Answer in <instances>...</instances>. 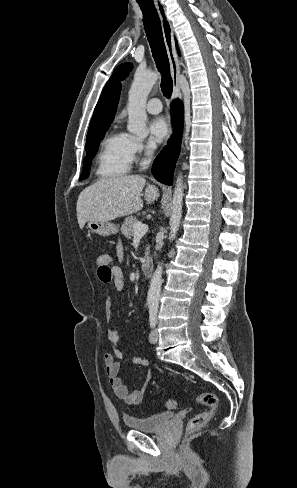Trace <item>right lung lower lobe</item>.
<instances>
[{
    "instance_id": "right-lung-lower-lobe-1",
    "label": "right lung lower lobe",
    "mask_w": 297,
    "mask_h": 488,
    "mask_svg": "<svg viewBox=\"0 0 297 488\" xmlns=\"http://www.w3.org/2000/svg\"><path fill=\"white\" fill-rule=\"evenodd\" d=\"M172 114L174 118V134L169 139L168 146L157 156L153 163L152 173L161 183L172 185L173 172L177 161L182 137L183 109L179 100L172 102Z\"/></svg>"
}]
</instances>
